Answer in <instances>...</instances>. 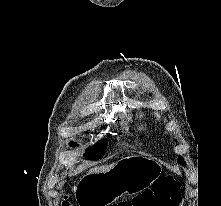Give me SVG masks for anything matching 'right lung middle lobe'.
I'll return each mask as SVG.
<instances>
[{"instance_id": "obj_1", "label": "right lung middle lobe", "mask_w": 221, "mask_h": 206, "mask_svg": "<svg viewBox=\"0 0 221 206\" xmlns=\"http://www.w3.org/2000/svg\"><path fill=\"white\" fill-rule=\"evenodd\" d=\"M72 143L71 145H73ZM107 148V139L101 141L100 143L88 148L84 157L90 160H98L103 157Z\"/></svg>"}]
</instances>
